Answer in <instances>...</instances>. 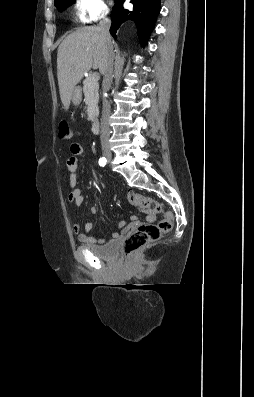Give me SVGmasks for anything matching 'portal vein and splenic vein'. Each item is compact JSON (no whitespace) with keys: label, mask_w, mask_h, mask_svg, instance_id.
<instances>
[{"label":"portal vein and splenic vein","mask_w":254,"mask_h":397,"mask_svg":"<svg viewBox=\"0 0 254 397\" xmlns=\"http://www.w3.org/2000/svg\"><path fill=\"white\" fill-rule=\"evenodd\" d=\"M98 77H99V76H98V74H97V73H94V74L92 75V79H93V80H96V79H98Z\"/></svg>","instance_id":"18ae733b"}]
</instances>
